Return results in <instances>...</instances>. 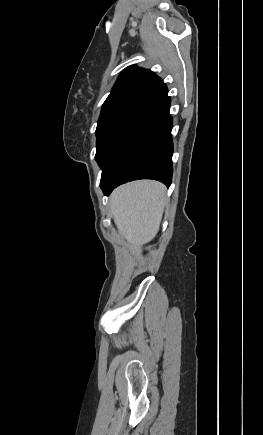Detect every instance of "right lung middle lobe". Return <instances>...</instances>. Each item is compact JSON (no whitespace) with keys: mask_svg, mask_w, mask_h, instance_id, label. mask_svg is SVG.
<instances>
[{"mask_svg":"<svg viewBox=\"0 0 263 435\" xmlns=\"http://www.w3.org/2000/svg\"><path fill=\"white\" fill-rule=\"evenodd\" d=\"M143 106L141 104H116L102 107L96 129L97 151L95 155L102 170L115 154L125 130Z\"/></svg>","mask_w":263,"mask_h":435,"instance_id":"1","label":"right lung middle lobe"}]
</instances>
